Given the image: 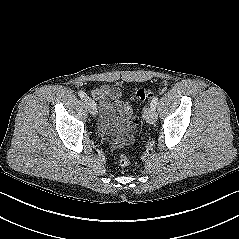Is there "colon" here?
Listing matches in <instances>:
<instances>
[{"label": "colon", "instance_id": "colon-1", "mask_svg": "<svg viewBox=\"0 0 239 239\" xmlns=\"http://www.w3.org/2000/svg\"><path fill=\"white\" fill-rule=\"evenodd\" d=\"M133 97L139 101H145L152 97V93L149 90L139 89L134 92ZM118 163L121 167L125 168L130 164V159L126 154H121L119 156Z\"/></svg>", "mask_w": 239, "mask_h": 239}]
</instances>
